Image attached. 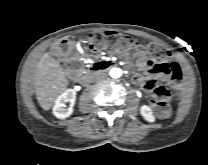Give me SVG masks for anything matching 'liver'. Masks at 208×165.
<instances>
[{
	"label": "liver",
	"mask_w": 208,
	"mask_h": 165,
	"mask_svg": "<svg viewBox=\"0 0 208 165\" xmlns=\"http://www.w3.org/2000/svg\"><path fill=\"white\" fill-rule=\"evenodd\" d=\"M67 86L68 80L59 61L49 53L43 54L34 72L35 94L42 109L49 110Z\"/></svg>",
	"instance_id": "obj_1"
}]
</instances>
